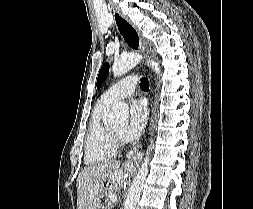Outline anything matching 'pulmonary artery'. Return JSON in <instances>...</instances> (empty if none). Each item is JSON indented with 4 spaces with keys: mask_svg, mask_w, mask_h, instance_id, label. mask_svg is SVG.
<instances>
[{
    "mask_svg": "<svg viewBox=\"0 0 253 209\" xmlns=\"http://www.w3.org/2000/svg\"><path fill=\"white\" fill-rule=\"evenodd\" d=\"M136 84L137 78L135 76H128L113 84L101 95L100 99L107 104H112L120 99L132 95Z\"/></svg>",
    "mask_w": 253,
    "mask_h": 209,
    "instance_id": "1",
    "label": "pulmonary artery"
}]
</instances>
